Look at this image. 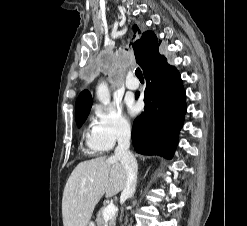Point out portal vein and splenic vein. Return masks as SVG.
<instances>
[{"mask_svg":"<svg viewBox=\"0 0 247 226\" xmlns=\"http://www.w3.org/2000/svg\"><path fill=\"white\" fill-rule=\"evenodd\" d=\"M116 212H117V208L113 203H110L103 212L104 220H109L115 215Z\"/></svg>","mask_w":247,"mask_h":226,"instance_id":"obj_1","label":"portal vein and splenic vein"}]
</instances>
